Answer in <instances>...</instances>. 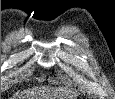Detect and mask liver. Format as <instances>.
Segmentation results:
<instances>
[{
	"label": "liver",
	"instance_id": "6515ba94",
	"mask_svg": "<svg viewBox=\"0 0 115 99\" xmlns=\"http://www.w3.org/2000/svg\"><path fill=\"white\" fill-rule=\"evenodd\" d=\"M48 90V89H47ZM46 91V89L44 88H39V89H35V90H31V91H27V92H21V93H16L13 96V99H34L38 96H43L44 92ZM50 91V90H49Z\"/></svg>",
	"mask_w": 115,
	"mask_h": 99
}]
</instances>
